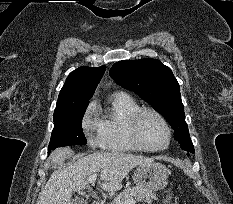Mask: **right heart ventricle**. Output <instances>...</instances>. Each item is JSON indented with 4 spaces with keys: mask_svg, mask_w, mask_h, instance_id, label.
<instances>
[{
    "mask_svg": "<svg viewBox=\"0 0 233 204\" xmlns=\"http://www.w3.org/2000/svg\"><path fill=\"white\" fill-rule=\"evenodd\" d=\"M140 108L135 99L124 93L114 94L106 110L98 117L103 148L109 151H139L128 132L129 117Z\"/></svg>",
    "mask_w": 233,
    "mask_h": 204,
    "instance_id": "right-heart-ventricle-1",
    "label": "right heart ventricle"
}]
</instances>
